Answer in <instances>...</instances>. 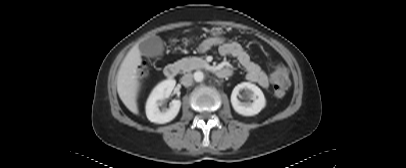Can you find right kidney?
Listing matches in <instances>:
<instances>
[{"mask_svg":"<svg viewBox=\"0 0 406 168\" xmlns=\"http://www.w3.org/2000/svg\"><path fill=\"white\" fill-rule=\"evenodd\" d=\"M176 81L174 79L164 80L159 83L151 92L146 103V116L154 123L164 124L172 121L178 114L181 101L172 100L170 107L160 111L159 106L162 101L168 98L174 89Z\"/></svg>","mask_w":406,"mask_h":168,"instance_id":"1","label":"right kidney"}]
</instances>
